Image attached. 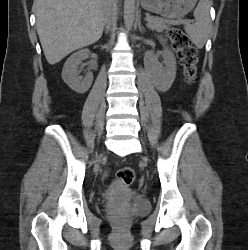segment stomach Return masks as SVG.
Listing matches in <instances>:
<instances>
[{
  "label": "stomach",
  "mask_w": 248,
  "mask_h": 250,
  "mask_svg": "<svg viewBox=\"0 0 248 250\" xmlns=\"http://www.w3.org/2000/svg\"><path fill=\"white\" fill-rule=\"evenodd\" d=\"M197 0H141L144 9L174 19L189 13Z\"/></svg>",
  "instance_id": "stomach-1"
}]
</instances>
